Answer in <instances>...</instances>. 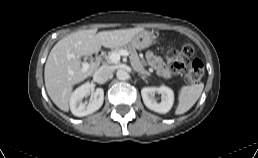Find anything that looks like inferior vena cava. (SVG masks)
<instances>
[{
  "label": "inferior vena cava",
  "mask_w": 258,
  "mask_h": 158,
  "mask_svg": "<svg viewBox=\"0 0 258 158\" xmlns=\"http://www.w3.org/2000/svg\"><path fill=\"white\" fill-rule=\"evenodd\" d=\"M111 76V68L108 66H101L95 71L93 75V80L99 84H104L111 78Z\"/></svg>",
  "instance_id": "inferior-vena-cava-1"
}]
</instances>
